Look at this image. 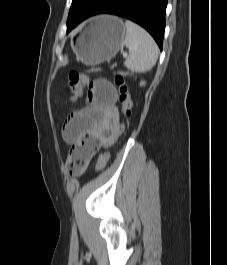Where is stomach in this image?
<instances>
[{
  "label": "stomach",
  "mask_w": 227,
  "mask_h": 265,
  "mask_svg": "<svg viewBox=\"0 0 227 265\" xmlns=\"http://www.w3.org/2000/svg\"><path fill=\"white\" fill-rule=\"evenodd\" d=\"M125 35L126 29L119 18L99 15L90 20L72 49L76 58L85 65H98L118 53Z\"/></svg>",
  "instance_id": "stomach-1"
}]
</instances>
